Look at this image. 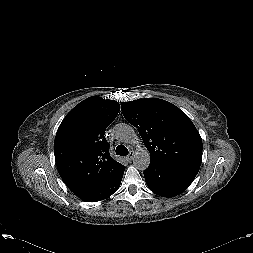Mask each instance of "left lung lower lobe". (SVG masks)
Returning a JSON list of instances; mask_svg holds the SVG:
<instances>
[{
    "label": "left lung lower lobe",
    "instance_id": "0a47b994",
    "mask_svg": "<svg viewBox=\"0 0 253 253\" xmlns=\"http://www.w3.org/2000/svg\"><path fill=\"white\" fill-rule=\"evenodd\" d=\"M200 166L186 162L150 161L144 171L148 188L162 197H174L184 192L196 177Z\"/></svg>",
    "mask_w": 253,
    "mask_h": 253
}]
</instances>
